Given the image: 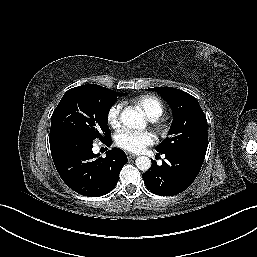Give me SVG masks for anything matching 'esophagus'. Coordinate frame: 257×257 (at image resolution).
<instances>
[{
  "label": "esophagus",
  "mask_w": 257,
  "mask_h": 257,
  "mask_svg": "<svg viewBox=\"0 0 257 257\" xmlns=\"http://www.w3.org/2000/svg\"><path fill=\"white\" fill-rule=\"evenodd\" d=\"M127 157H128V159H134L137 157V155L132 154V153H127Z\"/></svg>",
  "instance_id": "34e87169"
}]
</instances>
